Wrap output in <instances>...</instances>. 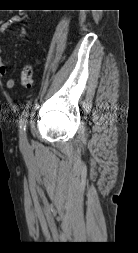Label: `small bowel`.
<instances>
[{
  "label": "small bowel",
  "mask_w": 138,
  "mask_h": 253,
  "mask_svg": "<svg viewBox=\"0 0 138 253\" xmlns=\"http://www.w3.org/2000/svg\"><path fill=\"white\" fill-rule=\"evenodd\" d=\"M20 22H21L20 17H18V16L11 17L9 20H7V21H5L4 23L1 24V26H0V32L3 35H6L7 31L9 30V28L12 25L20 24ZM20 32H21V35H22L23 39L28 42L29 38H28V35H27L26 28L24 26H21ZM6 74H7V66L3 62L2 52L0 50V75L4 76ZM14 86H15V79L14 78H9L6 81V87L8 89H12V88H14Z\"/></svg>",
  "instance_id": "1"
}]
</instances>
